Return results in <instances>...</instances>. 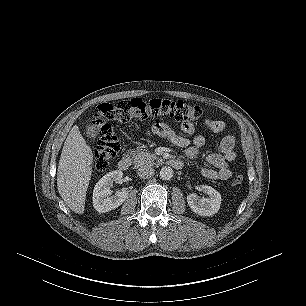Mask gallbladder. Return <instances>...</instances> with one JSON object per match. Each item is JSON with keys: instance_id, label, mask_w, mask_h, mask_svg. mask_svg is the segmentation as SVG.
Instances as JSON below:
<instances>
[{"instance_id": "bac80fb5", "label": "gallbladder", "mask_w": 306, "mask_h": 306, "mask_svg": "<svg viewBox=\"0 0 306 306\" xmlns=\"http://www.w3.org/2000/svg\"><path fill=\"white\" fill-rule=\"evenodd\" d=\"M99 131H100V129L96 125H93L91 123H88L86 125L85 134L87 135V137H89L91 139H95L96 137H98Z\"/></svg>"}]
</instances>
